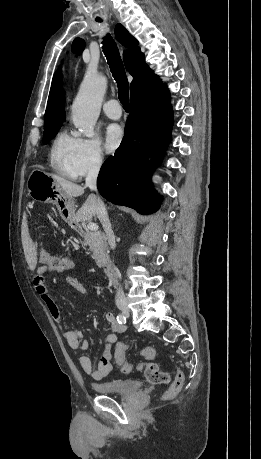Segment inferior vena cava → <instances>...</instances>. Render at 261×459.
Here are the masks:
<instances>
[{
  "label": "inferior vena cava",
  "mask_w": 261,
  "mask_h": 459,
  "mask_svg": "<svg viewBox=\"0 0 261 459\" xmlns=\"http://www.w3.org/2000/svg\"><path fill=\"white\" fill-rule=\"evenodd\" d=\"M101 164H102L101 157L100 156L95 157L89 166V170H88V173L85 179L86 186L89 187L93 191L97 190L96 181H97V177H98V173H99ZM92 196L94 200L96 215L102 223V226L106 233V238L108 240L110 247L114 249L116 246L115 237L113 234V230L111 228V224L108 218L106 207L99 196H95V195H92ZM115 300L117 304H121L125 302V295L121 287L117 289Z\"/></svg>",
  "instance_id": "602c4592"
}]
</instances>
